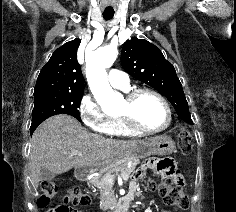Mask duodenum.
<instances>
[{"label": "duodenum", "instance_id": "410a0bca", "mask_svg": "<svg viewBox=\"0 0 236 212\" xmlns=\"http://www.w3.org/2000/svg\"><path fill=\"white\" fill-rule=\"evenodd\" d=\"M91 170L87 167H79L76 170V177L79 181H85ZM135 199V190H131L127 195L118 199L113 208L108 212H128Z\"/></svg>", "mask_w": 236, "mask_h": 212}]
</instances>
